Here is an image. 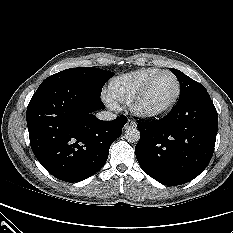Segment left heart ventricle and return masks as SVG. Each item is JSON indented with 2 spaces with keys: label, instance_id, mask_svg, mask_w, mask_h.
Wrapping results in <instances>:
<instances>
[{
  "label": "left heart ventricle",
  "instance_id": "obj_1",
  "mask_svg": "<svg viewBox=\"0 0 233 233\" xmlns=\"http://www.w3.org/2000/svg\"><path fill=\"white\" fill-rule=\"evenodd\" d=\"M176 92V82L169 74L157 77L151 84L141 105L146 109H159L165 106Z\"/></svg>",
  "mask_w": 233,
  "mask_h": 233
}]
</instances>
